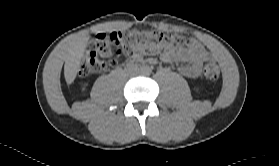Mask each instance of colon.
<instances>
[{
    "label": "colon",
    "instance_id": "5ec220e1",
    "mask_svg": "<svg viewBox=\"0 0 279 166\" xmlns=\"http://www.w3.org/2000/svg\"><path fill=\"white\" fill-rule=\"evenodd\" d=\"M190 44L183 36L159 30L134 29L99 33L92 39L78 73L82 77L100 73L115 65L118 57H133L145 51L178 54L187 50ZM220 72V66L213 61L207 62L203 67V75L209 81H216Z\"/></svg>",
    "mask_w": 279,
    "mask_h": 166
}]
</instances>
